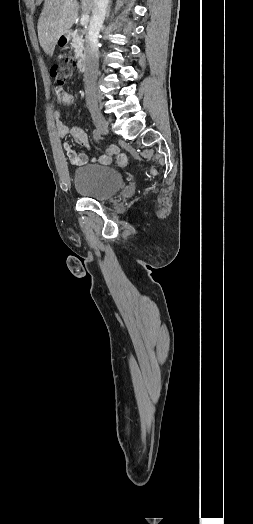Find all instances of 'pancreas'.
Masks as SVG:
<instances>
[{
    "mask_svg": "<svg viewBox=\"0 0 253 524\" xmlns=\"http://www.w3.org/2000/svg\"><path fill=\"white\" fill-rule=\"evenodd\" d=\"M71 48L74 49L76 58L81 59L83 57L84 55L83 54V51H84L83 38L77 32H74L72 35Z\"/></svg>",
    "mask_w": 253,
    "mask_h": 524,
    "instance_id": "1",
    "label": "pancreas"
}]
</instances>
